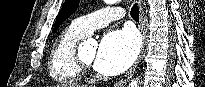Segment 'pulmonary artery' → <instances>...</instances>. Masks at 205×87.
<instances>
[{"mask_svg": "<svg viewBox=\"0 0 205 87\" xmlns=\"http://www.w3.org/2000/svg\"><path fill=\"white\" fill-rule=\"evenodd\" d=\"M123 16L121 8L107 7L75 19L71 26L82 35L88 36L95 30L103 28L111 22L123 18Z\"/></svg>", "mask_w": 205, "mask_h": 87, "instance_id": "1", "label": "pulmonary artery"}]
</instances>
